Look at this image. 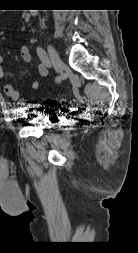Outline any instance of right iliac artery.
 I'll use <instances>...</instances> for the list:
<instances>
[{
    "label": "right iliac artery",
    "instance_id": "obj_1",
    "mask_svg": "<svg viewBox=\"0 0 138 253\" xmlns=\"http://www.w3.org/2000/svg\"><path fill=\"white\" fill-rule=\"evenodd\" d=\"M37 54L41 60V62L46 66V67H51V62H50V59L47 55V53L45 52V50L42 48V47H38L37 48ZM55 81L56 82H59L60 81V78L57 76L55 78Z\"/></svg>",
    "mask_w": 138,
    "mask_h": 253
}]
</instances>
